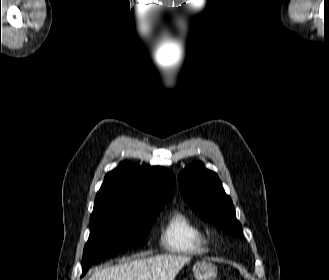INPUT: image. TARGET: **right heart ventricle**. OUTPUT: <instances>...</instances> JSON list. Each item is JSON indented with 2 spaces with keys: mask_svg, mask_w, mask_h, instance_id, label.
<instances>
[{
  "mask_svg": "<svg viewBox=\"0 0 329 280\" xmlns=\"http://www.w3.org/2000/svg\"><path fill=\"white\" fill-rule=\"evenodd\" d=\"M164 247L172 253L197 255L208 250L205 232L185 213L175 212L162 235Z\"/></svg>",
  "mask_w": 329,
  "mask_h": 280,
  "instance_id": "right-heart-ventricle-1",
  "label": "right heart ventricle"
}]
</instances>
